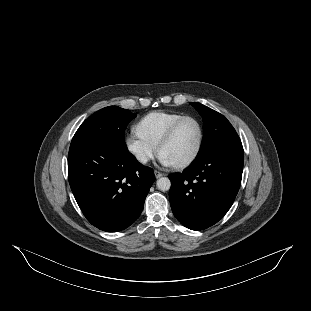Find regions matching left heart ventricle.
<instances>
[{"mask_svg": "<svg viewBox=\"0 0 311 311\" xmlns=\"http://www.w3.org/2000/svg\"><path fill=\"white\" fill-rule=\"evenodd\" d=\"M200 140V127L195 119H187L179 128L175 138L165 146L161 154L174 165L189 160L196 152Z\"/></svg>", "mask_w": 311, "mask_h": 311, "instance_id": "1", "label": "left heart ventricle"}]
</instances>
